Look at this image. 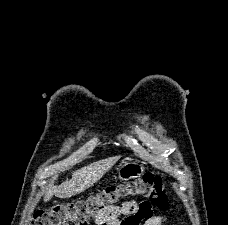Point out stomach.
<instances>
[{
  "instance_id": "0dacf381",
  "label": "stomach",
  "mask_w": 228,
  "mask_h": 225,
  "mask_svg": "<svg viewBox=\"0 0 228 225\" xmlns=\"http://www.w3.org/2000/svg\"><path fill=\"white\" fill-rule=\"evenodd\" d=\"M144 173L143 165H139L138 161H125L119 165L118 179L120 181H130V179H137Z\"/></svg>"
}]
</instances>
